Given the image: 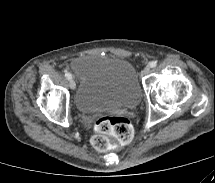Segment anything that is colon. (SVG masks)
Masks as SVG:
<instances>
[{
    "label": "colon",
    "instance_id": "colon-1",
    "mask_svg": "<svg viewBox=\"0 0 215 183\" xmlns=\"http://www.w3.org/2000/svg\"><path fill=\"white\" fill-rule=\"evenodd\" d=\"M96 134L91 143L98 151H108L112 144L108 136H114L120 145H126L133 138V128L130 121L122 116H102L94 124Z\"/></svg>",
    "mask_w": 215,
    "mask_h": 183
}]
</instances>
